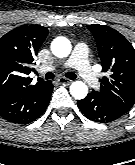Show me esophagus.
Returning <instances> with one entry per match:
<instances>
[{
  "label": "esophagus",
  "mask_w": 135,
  "mask_h": 165,
  "mask_svg": "<svg viewBox=\"0 0 135 165\" xmlns=\"http://www.w3.org/2000/svg\"><path fill=\"white\" fill-rule=\"evenodd\" d=\"M58 81H59L61 84H67V85H69V84L72 83V80L67 79V78H65V77H60V78L58 79Z\"/></svg>",
  "instance_id": "34e87169"
}]
</instances>
